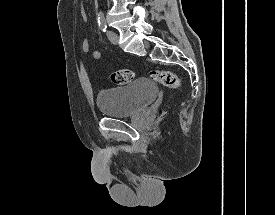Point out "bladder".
I'll use <instances>...</instances> for the list:
<instances>
[{"mask_svg": "<svg viewBox=\"0 0 275 215\" xmlns=\"http://www.w3.org/2000/svg\"><path fill=\"white\" fill-rule=\"evenodd\" d=\"M158 92V87L150 79L138 78L122 87L100 93L97 105L105 117L129 118L147 107Z\"/></svg>", "mask_w": 275, "mask_h": 215, "instance_id": "obj_1", "label": "bladder"}]
</instances>
